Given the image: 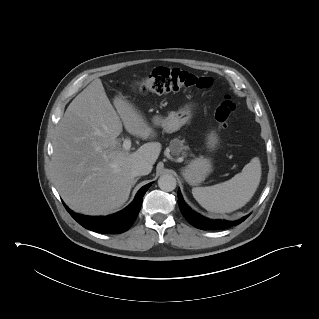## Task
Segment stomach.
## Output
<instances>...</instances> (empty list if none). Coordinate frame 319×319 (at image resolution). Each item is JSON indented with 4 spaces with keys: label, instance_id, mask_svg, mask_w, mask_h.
I'll return each instance as SVG.
<instances>
[{
    "label": "stomach",
    "instance_id": "0dacf381",
    "mask_svg": "<svg viewBox=\"0 0 319 319\" xmlns=\"http://www.w3.org/2000/svg\"><path fill=\"white\" fill-rule=\"evenodd\" d=\"M192 104H186L180 108L177 112H170L168 117L162 118L159 116L153 117V123L160 125L165 132L173 133L178 131L183 125H185L192 117ZM218 136L215 131H211L207 136V146L210 149H215L218 145ZM213 165L209 158L200 156L191 160L185 168L182 169V176L185 181L196 186L200 184L205 178L212 172Z\"/></svg>",
    "mask_w": 319,
    "mask_h": 319
}]
</instances>
